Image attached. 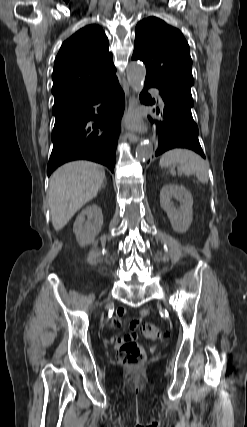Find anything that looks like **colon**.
Here are the masks:
<instances>
[{"label": "colon", "instance_id": "colon-1", "mask_svg": "<svg viewBox=\"0 0 247 427\" xmlns=\"http://www.w3.org/2000/svg\"><path fill=\"white\" fill-rule=\"evenodd\" d=\"M142 333L148 340L157 341L166 337V333L159 327L145 323L142 327ZM117 361L128 367H137L145 359V352L138 343L130 341L121 344L116 354Z\"/></svg>", "mask_w": 247, "mask_h": 427}]
</instances>
